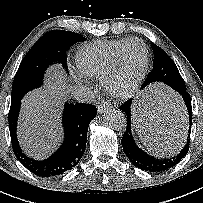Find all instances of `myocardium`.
<instances>
[{
    "instance_id": "myocardium-1",
    "label": "myocardium",
    "mask_w": 203,
    "mask_h": 203,
    "mask_svg": "<svg viewBox=\"0 0 203 203\" xmlns=\"http://www.w3.org/2000/svg\"><path fill=\"white\" fill-rule=\"evenodd\" d=\"M133 43H139L143 46L145 51L144 63L139 73L137 74L136 78L133 80V82L127 88L119 90L116 88L115 85L116 78L119 73V69L121 67L125 52L127 48ZM148 66H149V49L146 43L139 38L129 39L120 49L111 66L109 67L106 74L102 78V84L105 91L116 100L123 101L132 98L140 88L145 78Z\"/></svg>"
}]
</instances>
